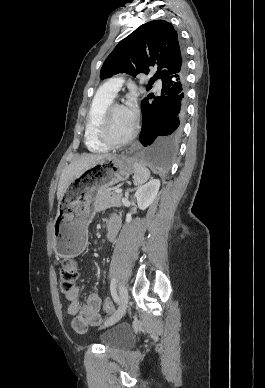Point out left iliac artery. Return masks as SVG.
<instances>
[{"mask_svg": "<svg viewBox=\"0 0 265 388\" xmlns=\"http://www.w3.org/2000/svg\"><path fill=\"white\" fill-rule=\"evenodd\" d=\"M111 295L116 303H119V297L116 292V279L113 277L110 284Z\"/></svg>", "mask_w": 265, "mask_h": 388, "instance_id": "1", "label": "left iliac artery"}]
</instances>
